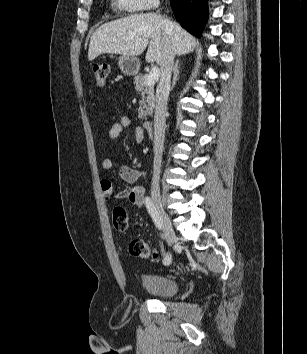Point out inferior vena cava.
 I'll list each match as a JSON object with an SVG mask.
<instances>
[{
  "label": "inferior vena cava",
  "instance_id": "inferior-vena-cava-1",
  "mask_svg": "<svg viewBox=\"0 0 307 354\" xmlns=\"http://www.w3.org/2000/svg\"><path fill=\"white\" fill-rule=\"evenodd\" d=\"M165 32L169 31L170 23L164 20ZM174 62V52L169 37L165 36L163 53L160 61V81L156 89V107L154 115V161L151 188L155 193L160 192L159 179L165 138L166 105L171 90L170 79Z\"/></svg>",
  "mask_w": 307,
  "mask_h": 354
}]
</instances>
